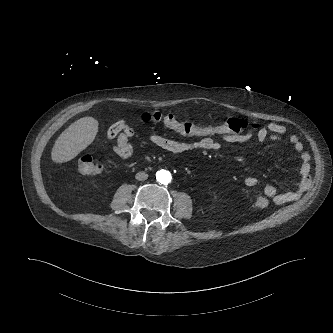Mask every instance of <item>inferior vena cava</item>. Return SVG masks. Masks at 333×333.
I'll return each mask as SVG.
<instances>
[{
	"instance_id": "602c4592",
	"label": "inferior vena cava",
	"mask_w": 333,
	"mask_h": 333,
	"mask_svg": "<svg viewBox=\"0 0 333 333\" xmlns=\"http://www.w3.org/2000/svg\"><path fill=\"white\" fill-rule=\"evenodd\" d=\"M135 178L139 181H142V180H146L148 178V174L145 173V172H138L136 175H135Z\"/></svg>"
}]
</instances>
